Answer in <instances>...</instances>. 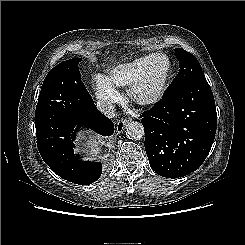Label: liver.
I'll use <instances>...</instances> for the list:
<instances>
[{
	"mask_svg": "<svg viewBox=\"0 0 245 245\" xmlns=\"http://www.w3.org/2000/svg\"><path fill=\"white\" fill-rule=\"evenodd\" d=\"M99 137V135H90L88 136L87 142H86V148L83 149L84 152L90 154V155H97L100 151L99 147H98V142L96 140H94V138Z\"/></svg>",
	"mask_w": 245,
	"mask_h": 245,
	"instance_id": "6515ba94",
	"label": "liver"
}]
</instances>
